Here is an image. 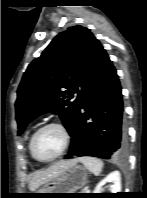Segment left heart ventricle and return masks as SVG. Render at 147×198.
Segmentation results:
<instances>
[{
	"label": "left heart ventricle",
	"instance_id": "obj_1",
	"mask_svg": "<svg viewBox=\"0 0 147 198\" xmlns=\"http://www.w3.org/2000/svg\"><path fill=\"white\" fill-rule=\"evenodd\" d=\"M63 135L57 128L50 127L41 131L35 141L34 150L43 159L56 155L63 146Z\"/></svg>",
	"mask_w": 147,
	"mask_h": 198
}]
</instances>
